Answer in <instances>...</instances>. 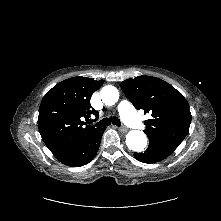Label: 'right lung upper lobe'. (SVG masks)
Returning a JSON list of instances; mask_svg holds the SVG:
<instances>
[{
  "label": "right lung upper lobe",
  "mask_w": 221,
  "mask_h": 221,
  "mask_svg": "<svg viewBox=\"0 0 221 221\" xmlns=\"http://www.w3.org/2000/svg\"><path fill=\"white\" fill-rule=\"evenodd\" d=\"M104 80L73 77L55 85L42 99L38 128L48 149L55 155L99 128L84 126L82 118L98 112L90 105L92 94Z\"/></svg>",
  "instance_id": "right-lung-upper-lobe-1"
}]
</instances>
